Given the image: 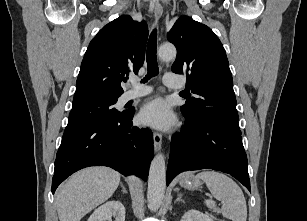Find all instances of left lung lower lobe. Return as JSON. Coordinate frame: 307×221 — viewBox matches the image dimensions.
Segmentation results:
<instances>
[{
  "mask_svg": "<svg viewBox=\"0 0 307 221\" xmlns=\"http://www.w3.org/2000/svg\"><path fill=\"white\" fill-rule=\"evenodd\" d=\"M204 168L228 173L251 191L241 133L212 120L186 119L171 139L167 184L183 171Z\"/></svg>",
  "mask_w": 307,
  "mask_h": 221,
  "instance_id": "obj_1",
  "label": "left lung lower lobe"
}]
</instances>
